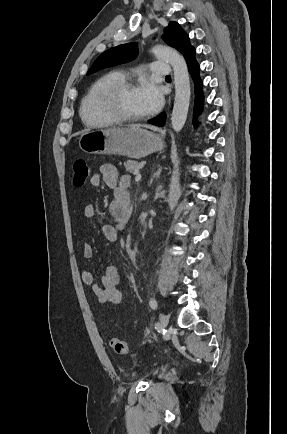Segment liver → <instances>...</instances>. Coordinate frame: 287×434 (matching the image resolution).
I'll return each mask as SVG.
<instances>
[{"label":"liver","mask_w":287,"mask_h":434,"mask_svg":"<svg viewBox=\"0 0 287 434\" xmlns=\"http://www.w3.org/2000/svg\"><path fill=\"white\" fill-rule=\"evenodd\" d=\"M130 128H132V129H137V128H141V126H139V125H135V126H132V127H130Z\"/></svg>","instance_id":"liver-1"}]
</instances>
